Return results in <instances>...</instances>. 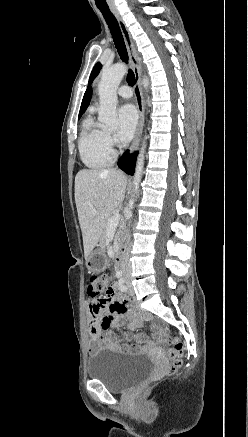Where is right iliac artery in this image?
I'll return each instance as SVG.
<instances>
[{"instance_id":"right-iliac-artery-1","label":"right iliac artery","mask_w":248,"mask_h":437,"mask_svg":"<svg viewBox=\"0 0 248 437\" xmlns=\"http://www.w3.org/2000/svg\"><path fill=\"white\" fill-rule=\"evenodd\" d=\"M116 276H117V277H121V276H122V271H118V272L116 273Z\"/></svg>"}]
</instances>
